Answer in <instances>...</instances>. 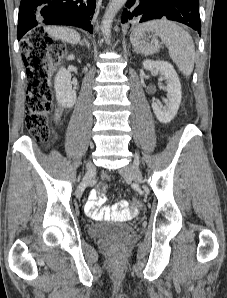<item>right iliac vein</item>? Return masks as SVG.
<instances>
[{
	"instance_id": "obj_1",
	"label": "right iliac vein",
	"mask_w": 227,
	"mask_h": 298,
	"mask_svg": "<svg viewBox=\"0 0 227 298\" xmlns=\"http://www.w3.org/2000/svg\"><path fill=\"white\" fill-rule=\"evenodd\" d=\"M86 168H87V172H88L89 174L92 173L93 170H94V166H93L92 162H90V161L87 162Z\"/></svg>"
}]
</instances>
